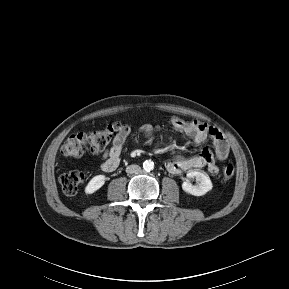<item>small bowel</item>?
<instances>
[{"label": "small bowel", "instance_id": "1", "mask_svg": "<svg viewBox=\"0 0 289 289\" xmlns=\"http://www.w3.org/2000/svg\"><path fill=\"white\" fill-rule=\"evenodd\" d=\"M169 122L177 132L191 137L195 145H201L207 139H211L212 143L200 154L194 156L174 155L165 164L167 170L172 174H182L205 167L211 174H216L218 172L217 162L226 161L229 157V147L221 133L213 126L198 120H184L177 116H171ZM130 131L128 125L120 126L112 138L111 146L103 155L102 170L111 172L118 167ZM141 131L149 137L148 141H150L153 126L146 124L141 127Z\"/></svg>", "mask_w": 289, "mask_h": 289}]
</instances>
